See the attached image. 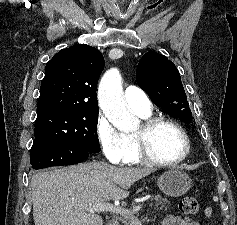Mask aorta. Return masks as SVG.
Returning <instances> with one entry per match:
<instances>
[{"instance_id":"obj_1","label":"aorta","mask_w":237,"mask_h":225,"mask_svg":"<svg viewBox=\"0 0 237 225\" xmlns=\"http://www.w3.org/2000/svg\"><path fill=\"white\" fill-rule=\"evenodd\" d=\"M98 102L107 119L121 132L137 128L139 120L132 115L122 97L121 75L118 69L108 70L100 80Z\"/></svg>"}]
</instances>
